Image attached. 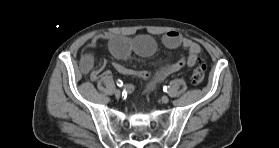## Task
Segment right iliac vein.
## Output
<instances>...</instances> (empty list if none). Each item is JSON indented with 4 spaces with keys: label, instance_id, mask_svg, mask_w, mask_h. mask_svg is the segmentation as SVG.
I'll use <instances>...</instances> for the list:
<instances>
[{
    "label": "right iliac vein",
    "instance_id": "1",
    "mask_svg": "<svg viewBox=\"0 0 279 148\" xmlns=\"http://www.w3.org/2000/svg\"><path fill=\"white\" fill-rule=\"evenodd\" d=\"M114 95L119 98L121 96V91L119 89H116Z\"/></svg>",
    "mask_w": 279,
    "mask_h": 148
}]
</instances>
